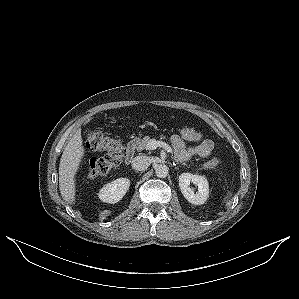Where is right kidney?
I'll return each mask as SVG.
<instances>
[{
  "mask_svg": "<svg viewBox=\"0 0 299 299\" xmlns=\"http://www.w3.org/2000/svg\"><path fill=\"white\" fill-rule=\"evenodd\" d=\"M130 186V180L127 178H119L104 185L99 193V199L106 203H117L126 194Z\"/></svg>",
  "mask_w": 299,
  "mask_h": 299,
  "instance_id": "right-kidney-1",
  "label": "right kidney"
}]
</instances>
